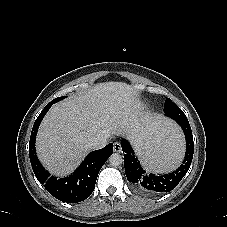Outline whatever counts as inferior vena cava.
<instances>
[{
	"mask_svg": "<svg viewBox=\"0 0 227 227\" xmlns=\"http://www.w3.org/2000/svg\"><path fill=\"white\" fill-rule=\"evenodd\" d=\"M109 137L110 136L108 134L97 135L88 141L87 146L93 150L103 148L104 146H106Z\"/></svg>",
	"mask_w": 227,
	"mask_h": 227,
	"instance_id": "1",
	"label": "inferior vena cava"
}]
</instances>
